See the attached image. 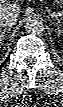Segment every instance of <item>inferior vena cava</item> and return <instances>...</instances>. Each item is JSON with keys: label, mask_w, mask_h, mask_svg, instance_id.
<instances>
[{"label": "inferior vena cava", "mask_w": 63, "mask_h": 107, "mask_svg": "<svg viewBox=\"0 0 63 107\" xmlns=\"http://www.w3.org/2000/svg\"><path fill=\"white\" fill-rule=\"evenodd\" d=\"M18 19V15L8 11H1L0 13V27L11 28Z\"/></svg>", "instance_id": "1"}]
</instances>
